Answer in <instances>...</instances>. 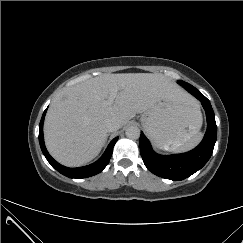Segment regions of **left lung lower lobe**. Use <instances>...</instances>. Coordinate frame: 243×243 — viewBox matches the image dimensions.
Returning <instances> with one entry per match:
<instances>
[{
	"label": "left lung lower lobe",
	"instance_id": "0a47b994",
	"mask_svg": "<svg viewBox=\"0 0 243 243\" xmlns=\"http://www.w3.org/2000/svg\"><path fill=\"white\" fill-rule=\"evenodd\" d=\"M179 84L200 100L205 109L208 125L202 142L190 152L163 156L152 150L148 139L142 132L140 136V153L147 169L159 177L174 181L191 176L207 163L213 152L217 136L215 115L210 101L192 85L186 82Z\"/></svg>",
	"mask_w": 243,
	"mask_h": 243
}]
</instances>
